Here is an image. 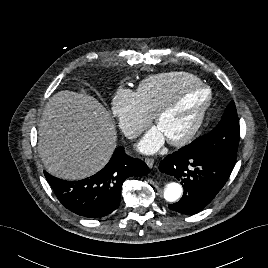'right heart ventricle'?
<instances>
[{
	"label": "right heart ventricle",
	"instance_id": "obj_1",
	"mask_svg": "<svg viewBox=\"0 0 268 268\" xmlns=\"http://www.w3.org/2000/svg\"><path fill=\"white\" fill-rule=\"evenodd\" d=\"M200 83V79L188 72L169 71L148 76L140 83L138 92L154 115L157 110L182 86Z\"/></svg>",
	"mask_w": 268,
	"mask_h": 268
}]
</instances>
